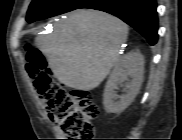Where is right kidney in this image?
<instances>
[{
	"instance_id": "1",
	"label": "right kidney",
	"mask_w": 182,
	"mask_h": 140,
	"mask_svg": "<svg viewBox=\"0 0 182 140\" xmlns=\"http://www.w3.org/2000/svg\"><path fill=\"white\" fill-rule=\"evenodd\" d=\"M144 75V57L139 52H130L123 56L112 70L104 90L103 104L109 113H120L134 100ZM126 82V94L116 101L115 90Z\"/></svg>"
}]
</instances>
